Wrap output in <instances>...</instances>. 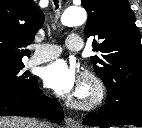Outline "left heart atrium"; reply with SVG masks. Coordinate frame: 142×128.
<instances>
[{"instance_id": "left-heart-atrium-1", "label": "left heart atrium", "mask_w": 142, "mask_h": 128, "mask_svg": "<svg viewBox=\"0 0 142 128\" xmlns=\"http://www.w3.org/2000/svg\"><path fill=\"white\" fill-rule=\"evenodd\" d=\"M42 77L44 84L59 95H69L80 88V79L75 68L64 60L49 64Z\"/></svg>"}]
</instances>
